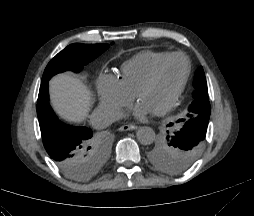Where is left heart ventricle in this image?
<instances>
[{
    "label": "left heart ventricle",
    "instance_id": "obj_1",
    "mask_svg": "<svg viewBox=\"0 0 254 216\" xmlns=\"http://www.w3.org/2000/svg\"><path fill=\"white\" fill-rule=\"evenodd\" d=\"M186 70L183 58L169 60L161 69L155 83L141 93L139 102L149 106L154 112L162 109L172 98Z\"/></svg>",
    "mask_w": 254,
    "mask_h": 216
}]
</instances>
